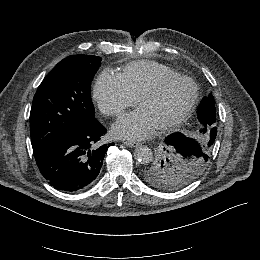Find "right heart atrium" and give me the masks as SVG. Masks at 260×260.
Here are the masks:
<instances>
[{"mask_svg": "<svg viewBox=\"0 0 260 260\" xmlns=\"http://www.w3.org/2000/svg\"><path fill=\"white\" fill-rule=\"evenodd\" d=\"M93 97L102 114L107 117L119 116L135 102L121 78L109 70L102 71L96 78Z\"/></svg>", "mask_w": 260, "mask_h": 260, "instance_id": "right-heart-atrium-1", "label": "right heart atrium"}]
</instances>
